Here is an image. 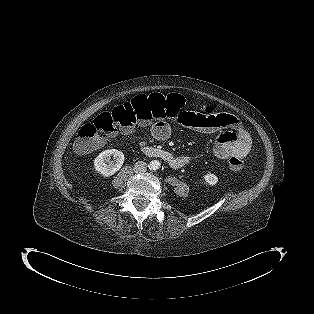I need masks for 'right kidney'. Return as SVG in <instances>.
<instances>
[{"instance_id": "right-kidney-1", "label": "right kidney", "mask_w": 314, "mask_h": 314, "mask_svg": "<svg viewBox=\"0 0 314 314\" xmlns=\"http://www.w3.org/2000/svg\"><path fill=\"white\" fill-rule=\"evenodd\" d=\"M114 161H110V157ZM124 163V154L116 149H108L101 152L94 160L95 170L105 177L114 175Z\"/></svg>"}]
</instances>
